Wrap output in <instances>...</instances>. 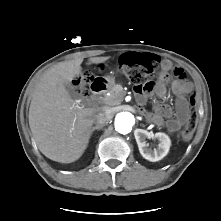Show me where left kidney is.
Instances as JSON below:
<instances>
[{"instance_id": "5707ae66", "label": "left kidney", "mask_w": 221, "mask_h": 221, "mask_svg": "<svg viewBox=\"0 0 221 221\" xmlns=\"http://www.w3.org/2000/svg\"><path fill=\"white\" fill-rule=\"evenodd\" d=\"M140 154L148 161L156 162L164 158L169 152L171 141L165 133H151L143 129L134 132ZM157 138L159 141L157 149L151 150L147 147L146 138Z\"/></svg>"}]
</instances>
